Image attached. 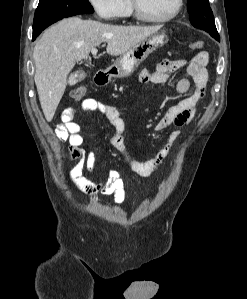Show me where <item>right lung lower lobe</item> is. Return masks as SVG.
<instances>
[{
	"label": "right lung lower lobe",
	"instance_id": "1",
	"mask_svg": "<svg viewBox=\"0 0 247 299\" xmlns=\"http://www.w3.org/2000/svg\"><path fill=\"white\" fill-rule=\"evenodd\" d=\"M38 35H33V40L37 37Z\"/></svg>",
	"mask_w": 247,
	"mask_h": 299
}]
</instances>
